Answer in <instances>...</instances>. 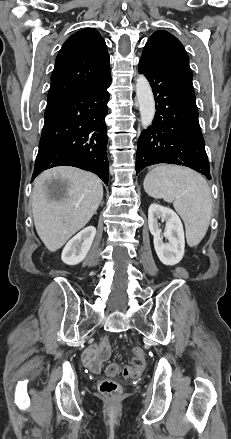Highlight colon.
Masks as SVG:
<instances>
[{
  "label": "colon",
  "mask_w": 231,
  "mask_h": 439,
  "mask_svg": "<svg viewBox=\"0 0 231 439\" xmlns=\"http://www.w3.org/2000/svg\"><path fill=\"white\" fill-rule=\"evenodd\" d=\"M111 354V344L108 340H103L99 344L98 357L101 360H106ZM146 366V359L144 351L135 347L132 349V360L130 365L122 369L123 375L128 379L138 377ZM121 370L116 364H110L106 368V377L99 378L97 387L100 393L105 396H116L120 393L121 387L118 382L113 380V377Z\"/></svg>",
  "instance_id": "1"
}]
</instances>
